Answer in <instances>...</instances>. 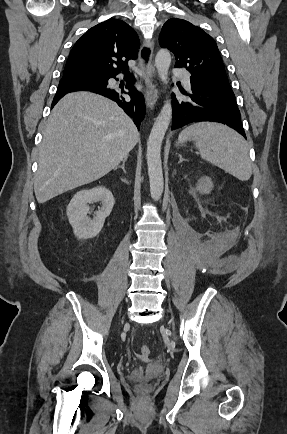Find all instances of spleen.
<instances>
[{
    "mask_svg": "<svg viewBox=\"0 0 287 434\" xmlns=\"http://www.w3.org/2000/svg\"><path fill=\"white\" fill-rule=\"evenodd\" d=\"M193 140L201 158L241 181L252 175V163L244 138L230 127L200 122L186 127L179 140Z\"/></svg>",
    "mask_w": 287,
    "mask_h": 434,
    "instance_id": "obj_1",
    "label": "spleen"
}]
</instances>
